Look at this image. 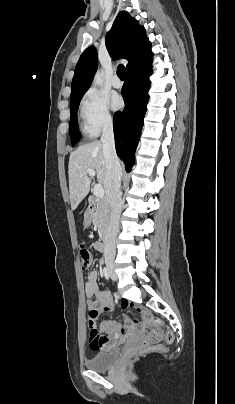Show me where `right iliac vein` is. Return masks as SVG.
I'll return each instance as SVG.
<instances>
[{
    "instance_id": "1",
    "label": "right iliac vein",
    "mask_w": 235,
    "mask_h": 404,
    "mask_svg": "<svg viewBox=\"0 0 235 404\" xmlns=\"http://www.w3.org/2000/svg\"><path fill=\"white\" fill-rule=\"evenodd\" d=\"M106 266L109 274L113 280H117V275L115 273L114 262L110 258H106Z\"/></svg>"
}]
</instances>
